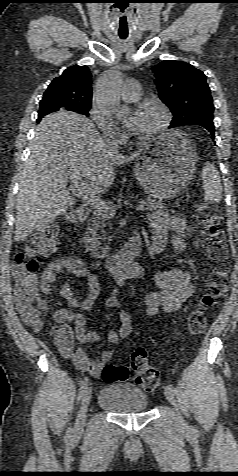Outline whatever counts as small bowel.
<instances>
[{
    "mask_svg": "<svg viewBox=\"0 0 238 476\" xmlns=\"http://www.w3.org/2000/svg\"><path fill=\"white\" fill-rule=\"evenodd\" d=\"M149 229L152 233V249L156 254L161 253L169 242L168 233L173 231L175 236L172 245L176 252L185 246L184 235L190 233L186 220L179 215H170L156 212L149 216ZM83 278L87 281L88 292L83 300H78L72 293L67 274ZM146 275L143 269L136 265V270L116 276L118 284L122 285L127 279ZM160 291L149 292L145 295L144 302L146 314L154 316L160 311L174 312L180 309L193 295L194 286L190 274L181 269L157 271L151 274ZM58 284L59 293L66 301L69 309H61L53 314L55 325L51 336L63 357L71 359L77 369L87 372L94 377H100L103 368L111 360L113 352L105 350L99 361L89 358L85 345L96 342L102 336L99 331H87L86 319L82 311H90L100 294V286L96 276L88 265L75 256H63L49 262L40 275L39 291L51 294ZM42 310L46 308L45 302L40 299ZM121 306L118 292L115 290L106 300L105 308L108 310ZM132 331V318L126 311L119 316V328L106 335L109 344H117L127 338ZM75 342L79 347H75Z\"/></svg>",
    "mask_w": 238,
    "mask_h": 476,
    "instance_id": "small-bowel-1",
    "label": "small bowel"
}]
</instances>
